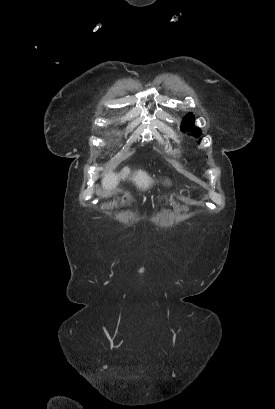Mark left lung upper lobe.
Returning a JSON list of instances; mask_svg holds the SVG:
<instances>
[{
	"label": "left lung upper lobe",
	"instance_id": "left-lung-upper-lobe-1",
	"mask_svg": "<svg viewBox=\"0 0 275 409\" xmlns=\"http://www.w3.org/2000/svg\"><path fill=\"white\" fill-rule=\"evenodd\" d=\"M180 128L184 132H191L195 137H199L201 135L200 129L194 125V116L191 114L185 116Z\"/></svg>",
	"mask_w": 275,
	"mask_h": 409
}]
</instances>
